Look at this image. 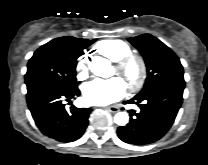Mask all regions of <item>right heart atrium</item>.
<instances>
[{
    "label": "right heart atrium",
    "instance_id": "1",
    "mask_svg": "<svg viewBox=\"0 0 208 165\" xmlns=\"http://www.w3.org/2000/svg\"><path fill=\"white\" fill-rule=\"evenodd\" d=\"M76 73L79 80H84L88 76V55L83 54L76 61Z\"/></svg>",
    "mask_w": 208,
    "mask_h": 165
}]
</instances>
